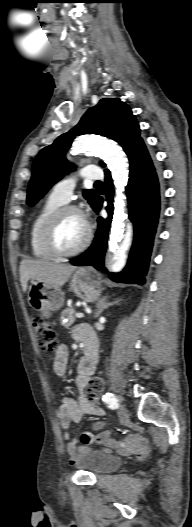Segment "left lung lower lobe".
<instances>
[{
    "label": "left lung lower lobe",
    "instance_id": "left-lung-lower-lobe-1",
    "mask_svg": "<svg viewBox=\"0 0 192 527\" xmlns=\"http://www.w3.org/2000/svg\"><path fill=\"white\" fill-rule=\"evenodd\" d=\"M130 162L129 182L126 194L129 201V218L134 224V242L125 269L120 273H110L104 268V254L107 247V236L113 214V181L109 171H105L107 186L106 207L109 217L98 218V230L90 248L71 259L76 266L93 265L106 272L110 278L119 283L143 285L148 269L149 258L160 211L159 181L156 169L143 142L137 144L128 154ZM103 199L99 197L95 212H99Z\"/></svg>",
    "mask_w": 192,
    "mask_h": 527
}]
</instances>
